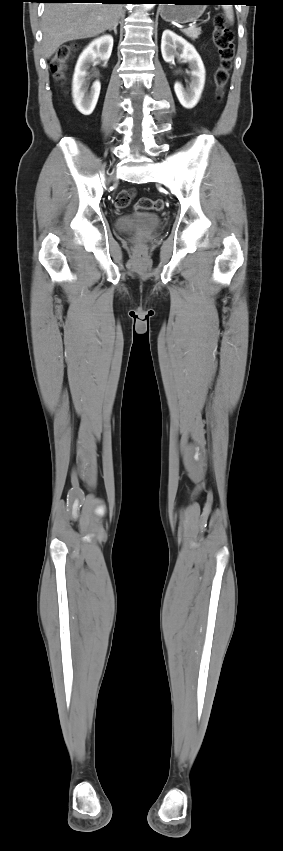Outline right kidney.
Here are the masks:
<instances>
[{"mask_svg":"<svg viewBox=\"0 0 283 851\" xmlns=\"http://www.w3.org/2000/svg\"><path fill=\"white\" fill-rule=\"evenodd\" d=\"M112 48L113 37L104 35L93 40L79 56L73 75L72 95L76 108L83 115H90L93 112L101 89V84L97 80L88 91L89 82L86 79L88 71L91 65L96 63L97 58L107 61L111 56Z\"/></svg>","mask_w":283,"mask_h":851,"instance_id":"obj_1","label":"right kidney"}]
</instances>
